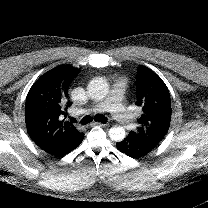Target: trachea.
Masks as SVG:
<instances>
[{"label": "trachea", "mask_w": 208, "mask_h": 208, "mask_svg": "<svg viewBox=\"0 0 208 208\" xmlns=\"http://www.w3.org/2000/svg\"><path fill=\"white\" fill-rule=\"evenodd\" d=\"M93 119L95 121H98V122H102V123H106L107 122V118L103 115H100V114H96L94 117H91V116H85L82 120H81V124L82 125H86L87 123H90L93 121ZM71 121L72 122H75L77 123V121L74 119V118H71Z\"/></svg>", "instance_id": "3493384b"}]
</instances>
